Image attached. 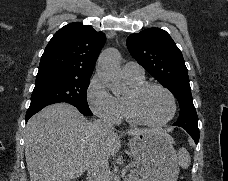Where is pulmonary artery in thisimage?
Wrapping results in <instances>:
<instances>
[{
	"label": "pulmonary artery",
	"mask_w": 228,
	"mask_h": 181,
	"mask_svg": "<svg viewBox=\"0 0 228 181\" xmlns=\"http://www.w3.org/2000/svg\"><path fill=\"white\" fill-rule=\"evenodd\" d=\"M141 65L138 62H129L128 65H124V70H126V75L130 77H140L142 76Z\"/></svg>",
	"instance_id": "pulmonary-artery-1"
}]
</instances>
